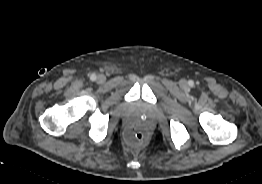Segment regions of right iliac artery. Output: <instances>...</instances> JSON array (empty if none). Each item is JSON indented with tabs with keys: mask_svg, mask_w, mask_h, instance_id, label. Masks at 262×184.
Wrapping results in <instances>:
<instances>
[{
	"mask_svg": "<svg viewBox=\"0 0 262 184\" xmlns=\"http://www.w3.org/2000/svg\"><path fill=\"white\" fill-rule=\"evenodd\" d=\"M90 79H91L92 81H95V80H96V75H95V74H92V75L90 76Z\"/></svg>",
	"mask_w": 262,
	"mask_h": 184,
	"instance_id": "1",
	"label": "right iliac artery"
}]
</instances>
